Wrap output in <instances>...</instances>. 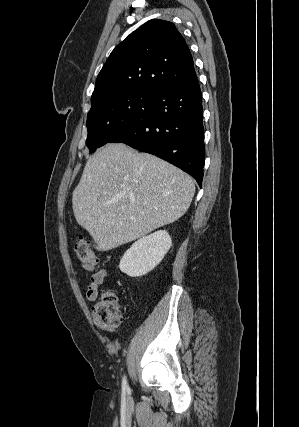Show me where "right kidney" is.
Listing matches in <instances>:
<instances>
[{"instance_id":"ca27d5eb","label":"right kidney","mask_w":299,"mask_h":427,"mask_svg":"<svg viewBox=\"0 0 299 427\" xmlns=\"http://www.w3.org/2000/svg\"><path fill=\"white\" fill-rule=\"evenodd\" d=\"M172 245L165 230L156 231L136 241L120 260V270L130 277H140L153 270Z\"/></svg>"}]
</instances>
